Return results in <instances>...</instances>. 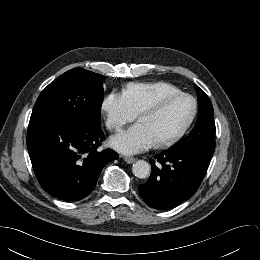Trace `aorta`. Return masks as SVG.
<instances>
[{"label":"aorta","mask_w":260,"mask_h":260,"mask_svg":"<svg viewBox=\"0 0 260 260\" xmlns=\"http://www.w3.org/2000/svg\"><path fill=\"white\" fill-rule=\"evenodd\" d=\"M132 172L137 178L144 179L149 177L151 166L144 160H138L133 164Z\"/></svg>","instance_id":"1"}]
</instances>
